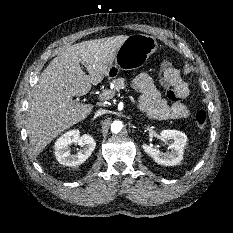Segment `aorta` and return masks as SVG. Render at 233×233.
I'll return each instance as SVG.
<instances>
[{
  "label": "aorta",
  "mask_w": 233,
  "mask_h": 233,
  "mask_svg": "<svg viewBox=\"0 0 233 233\" xmlns=\"http://www.w3.org/2000/svg\"><path fill=\"white\" fill-rule=\"evenodd\" d=\"M123 124L121 121H113V123L111 124V131L113 133H119L122 130Z\"/></svg>",
  "instance_id": "762f6f07"
}]
</instances>
